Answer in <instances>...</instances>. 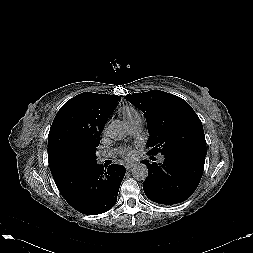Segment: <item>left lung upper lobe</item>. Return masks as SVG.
<instances>
[{"label": "left lung upper lobe", "mask_w": 253, "mask_h": 253, "mask_svg": "<svg viewBox=\"0 0 253 253\" xmlns=\"http://www.w3.org/2000/svg\"><path fill=\"white\" fill-rule=\"evenodd\" d=\"M125 99L146 117L151 148L148 154L162 155L180 150L207 153L201 120L182 98L160 91L126 95Z\"/></svg>", "instance_id": "1"}]
</instances>
